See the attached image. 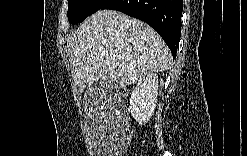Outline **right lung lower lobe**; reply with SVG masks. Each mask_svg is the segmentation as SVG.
<instances>
[{"label":"right lung lower lobe","instance_id":"1","mask_svg":"<svg viewBox=\"0 0 247 156\" xmlns=\"http://www.w3.org/2000/svg\"><path fill=\"white\" fill-rule=\"evenodd\" d=\"M103 9L117 10L148 23L175 58L181 33L182 0H108Z\"/></svg>","mask_w":247,"mask_h":156}]
</instances>
